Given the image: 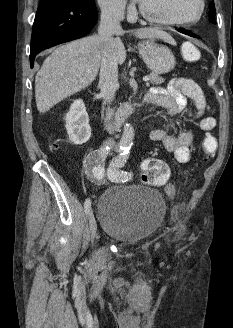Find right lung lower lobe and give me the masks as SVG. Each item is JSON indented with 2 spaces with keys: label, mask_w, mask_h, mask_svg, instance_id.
<instances>
[{
  "label": "right lung lower lobe",
  "mask_w": 233,
  "mask_h": 328,
  "mask_svg": "<svg viewBox=\"0 0 233 328\" xmlns=\"http://www.w3.org/2000/svg\"><path fill=\"white\" fill-rule=\"evenodd\" d=\"M98 19L95 4L77 0H41L33 24L30 64L44 49L85 36Z\"/></svg>",
  "instance_id": "right-lung-lower-lobe-1"
}]
</instances>
